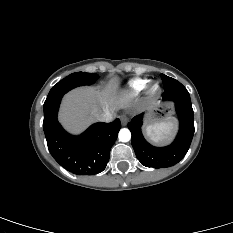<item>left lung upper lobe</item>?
<instances>
[{"instance_id": "left-lung-upper-lobe-1", "label": "left lung upper lobe", "mask_w": 233, "mask_h": 233, "mask_svg": "<svg viewBox=\"0 0 233 233\" xmlns=\"http://www.w3.org/2000/svg\"><path fill=\"white\" fill-rule=\"evenodd\" d=\"M161 79L163 81L164 89H168V88L174 86L176 83H178L177 80H175L171 77H168L164 74H161Z\"/></svg>"}]
</instances>
